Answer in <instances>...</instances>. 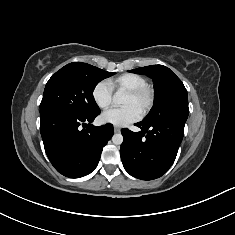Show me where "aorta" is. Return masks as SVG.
Returning a JSON list of instances; mask_svg holds the SVG:
<instances>
[{
    "label": "aorta",
    "mask_w": 235,
    "mask_h": 235,
    "mask_svg": "<svg viewBox=\"0 0 235 235\" xmlns=\"http://www.w3.org/2000/svg\"><path fill=\"white\" fill-rule=\"evenodd\" d=\"M124 101V96L121 92H116L113 98V102L117 105L122 104ZM112 142L116 145H120L123 142V136L120 133L114 134L112 137Z\"/></svg>",
    "instance_id": "obj_1"
}]
</instances>
